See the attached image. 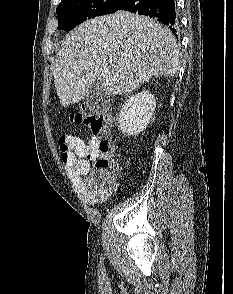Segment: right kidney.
I'll return each mask as SVG.
<instances>
[{"instance_id": "right-kidney-1", "label": "right kidney", "mask_w": 233, "mask_h": 294, "mask_svg": "<svg viewBox=\"0 0 233 294\" xmlns=\"http://www.w3.org/2000/svg\"><path fill=\"white\" fill-rule=\"evenodd\" d=\"M156 108L154 96L142 91L129 97L122 105L119 115L120 130L128 135H136L146 129Z\"/></svg>"}]
</instances>
